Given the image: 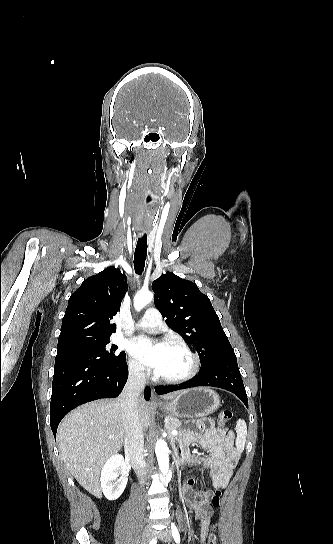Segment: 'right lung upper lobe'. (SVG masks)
Here are the masks:
<instances>
[{"mask_svg":"<svg viewBox=\"0 0 333 544\" xmlns=\"http://www.w3.org/2000/svg\"><path fill=\"white\" fill-rule=\"evenodd\" d=\"M123 277L111 266L83 281L69 298L57 349L106 339L116 332L110 320L120 310L127 291Z\"/></svg>","mask_w":333,"mask_h":544,"instance_id":"right-lung-upper-lobe-1","label":"right lung upper lobe"}]
</instances>
